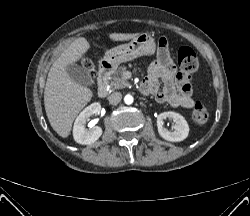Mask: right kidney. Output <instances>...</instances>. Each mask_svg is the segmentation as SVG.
<instances>
[{"instance_id":"obj_1","label":"right kidney","mask_w":250,"mask_h":216,"mask_svg":"<svg viewBox=\"0 0 250 216\" xmlns=\"http://www.w3.org/2000/svg\"><path fill=\"white\" fill-rule=\"evenodd\" d=\"M100 110V103L95 102L86 107L76 118L73 126V137L77 143L90 145L100 138L103 132L101 127L94 126L89 131L85 128L86 121H88L91 116L99 114Z\"/></svg>"}]
</instances>
